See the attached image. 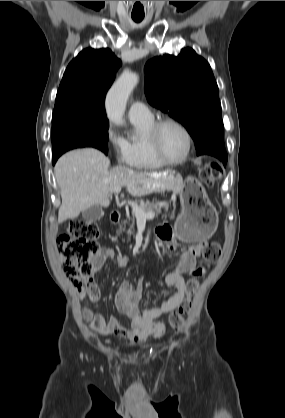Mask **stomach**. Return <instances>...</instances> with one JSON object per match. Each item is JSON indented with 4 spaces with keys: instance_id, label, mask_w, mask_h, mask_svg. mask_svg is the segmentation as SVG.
<instances>
[{
    "instance_id": "obj_1",
    "label": "stomach",
    "mask_w": 285,
    "mask_h": 418,
    "mask_svg": "<svg viewBox=\"0 0 285 418\" xmlns=\"http://www.w3.org/2000/svg\"><path fill=\"white\" fill-rule=\"evenodd\" d=\"M181 213L174 230L176 237L186 243L209 239L217 229L216 209L205 189L194 177H189L180 191Z\"/></svg>"
}]
</instances>
